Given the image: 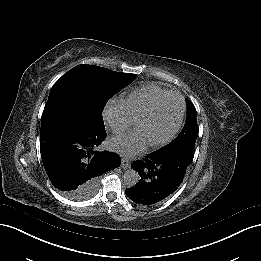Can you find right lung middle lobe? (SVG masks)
I'll list each match as a JSON object with an SVG mask.
<instances>
[{"mask_svg":"<svg viewBox=\"0 0 261 261\" xmlns=\"http://www.w3.org/2000/svg\"><path fill=\"white\" fill-rule=\"evenodd\" d=\"M135 77L98 66L78 65L53 85L47 103H64L103 120L101 114L107 101ZM97 186L98 180L82 187L79 193L94 190Z\"/></svg>","mask_w":261,"mask_h":261,"instance_id":"dd1d6c3e","label":"right lung middle lobe"}]
</instances>
